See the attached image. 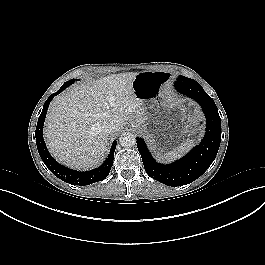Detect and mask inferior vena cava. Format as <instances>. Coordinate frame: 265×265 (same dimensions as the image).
Returning <instances> with one entry per match:
<instances>
[{
    "label": "inferior vena cava",
    "instance_id": "602c4592",
    "mask_svg": "<svg viewBox=\"0 0 265 265\" xmlns=\"http://www.w3.org/2000/svg\"><path fill=\"white\" fill-rule=\"evenodd\" d=\"M103 133L106 135L112 134L116 129L117 125L114 120H106L101 125Z\"/></svg>",
    "mask_w": 265,
    "mask_h": 265
}]
</instances>
